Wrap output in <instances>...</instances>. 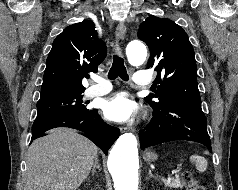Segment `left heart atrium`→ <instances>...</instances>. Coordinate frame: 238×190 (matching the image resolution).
<instances>
[{"label":"left heart atrium","instance_id":"1","mask_svg":"<svg viewBox=\"0 0 238 190\" xmlns=\"http://www.w3.org/2000/svg\"><path fill=\"white\" fill-rule=\"evenodd\" d=\"M137 111V103L125 92L117 93L103 103L104 116L115 122H127Z\"/></svg>","mask_w":238,"mask_h":190}]
</instances>
